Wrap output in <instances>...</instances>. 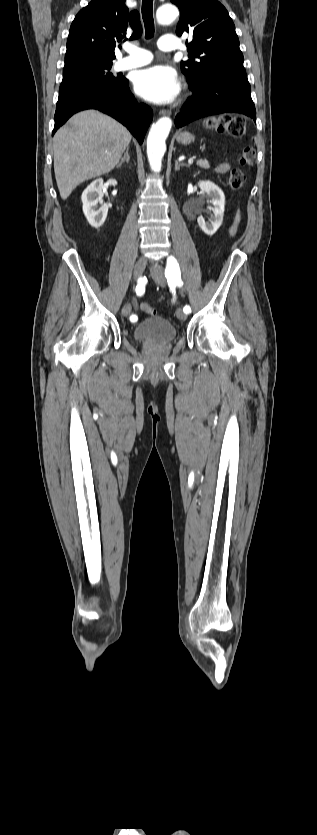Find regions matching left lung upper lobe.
<instances>
[{"instance_id":"obj_1","label":"left lung upper lobe","mask_w":317,"mask_h":835,"mask_svg":"<svg viewBox=\"0 0 317 835\" xmlns=\"http://www.w3.org/2000/svg\"><path fill=\"white\" fill-rule=\"evenodd\" d=\"M180 9L176 34L191 35L190 60L182 61L189 83H198L216 65L243 67L235 25L225 7L216 0H170ZM196 57L197 60H194Z\"/></svg>"}]
</instances>
